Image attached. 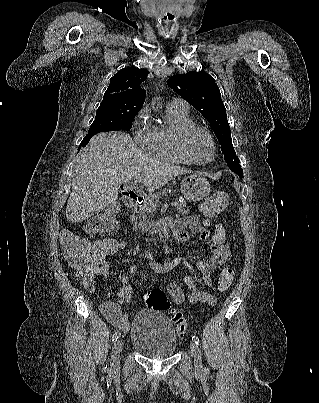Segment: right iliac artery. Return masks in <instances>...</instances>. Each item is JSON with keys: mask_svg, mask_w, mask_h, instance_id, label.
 Wrapping results in <instances>:
<instances>
[{"mask_svg": "<svg viewBox=\"0 0 319 403\" xmlns=\"http://www.w3.org/2000/svg\"><path fill=\"white\" fill-rule=\"evenodd\" d=\"M119 337H120V332L116 331L112 336V342H116ZM106 368H107V366H106Z\"/></svg>", "mask_w": 319, "mask_h": 403, "instance_id": "obj_1", "label": "right iliac artery"}]
</instances>
